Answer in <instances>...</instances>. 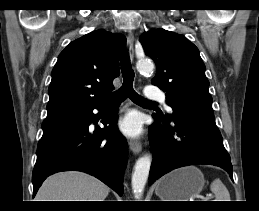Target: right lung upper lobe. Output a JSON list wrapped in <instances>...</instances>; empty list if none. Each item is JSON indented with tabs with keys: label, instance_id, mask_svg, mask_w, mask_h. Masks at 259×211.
Wrapping results in <instances>:
<instances>
[{
	"label": "right lung upper lobe",
	"instance_id": "obj_1",
	"mask_svg": "<svg viewBox=\"0 0 259 211\" xmlns=\"http://www.w3.org/2000/svg\"><path fill=\"white\" fill-rule=\"evenodd\" d=\"M126 38L103 29L71 42L59 55L48 89L47 117L84 112L108 102Z\"/></svg>",
	"mask_w": 259,
	"mask_h": 211
}]
</instances>
